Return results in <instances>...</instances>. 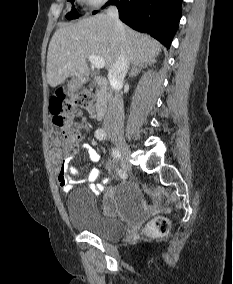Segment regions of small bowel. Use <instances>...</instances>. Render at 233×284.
Listing matches in <instances>:
<instances>
[{
  "mask_svg": "<svg viewBox=\"0 0 233 284\" xmlns=\"http://www.w3.org/2000/svg\"><path fill=\"white\" fill-rule=\"evenodd\" d=\"M81 150L83 152H85L89 159L93 162V163H98L100 160V155L98 153V151L91 146L88 143H84L81 145ZM73 157L72 156H67L65 157L60 164V169L58 171V183L61 187V189L65 192H68L72 189L74 182H72L68 176V171L70 169V163L72 161ZM100 171L98 168H93L92 170H90V172L84 176L83 178H79L78 180H76V182H80V183H86L89 185V187L92 189V191L98 193L101 192L106 183H107V179L104 178L99 184L95 185L94 182L96 181V179L99 177Z\"/></svg>",
  "mask_w": 233,
  "mask_h": 284,
  "instance_id": "1",
  "label": "small bowel"
}]
</instances>
